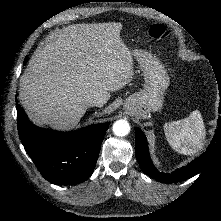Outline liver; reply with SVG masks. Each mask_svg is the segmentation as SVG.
Returning a JSON list of instances; mask_svg holds the SVG:
<instances>
[{
	"label": "liver",
	"instance_id": "liver-1",
	"mask_svg": "<svg viewBox=\"0 0 221 221\" xmlns=\"http://www.w3.org/2000/svg\"><path fill=\"white\" fill-rule=\"evenodd\" d=\"M122 27L116 22L74 24L38 47L21 76L19 93L34 123L73 128L89 99L105 104L110 91L132 80L134 54L120 38Z\"/></svg>",
	"mask_w": 221,
	"mask_h": 221
}]
</instances>
